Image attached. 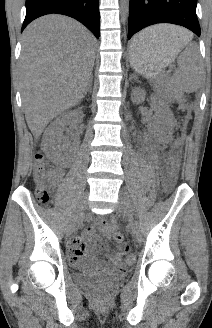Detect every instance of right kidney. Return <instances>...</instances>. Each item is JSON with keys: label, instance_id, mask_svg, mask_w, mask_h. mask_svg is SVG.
<instances>
[{"label": "right kidney", "instance_id": "obj_1", "mask_svg": "<svg viewBox=\"0 0 212 328\" xmlns=\"http://www.w3.org/2000/svg\"><path fill=\"white\" fill-rule=\"evenodd\" d=\"M83 113L80 110H73L60 115L47 129L44 141L50 154L59 148L62 137L61 130L66 124L77 125L82 121Z\"/></svg>", "mask_w": 212, "mask_h": 328}]
</instances>
